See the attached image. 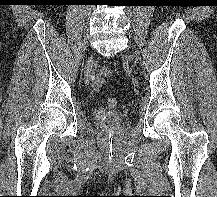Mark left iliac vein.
Returning <instances> with one entry per match:
<instances>
[{"label": "left iliac vein", "instance_id": "left-iliac-vein-1", "mask_svg": "<svg viewBox=\"0 0 217 197\" xmlns=\"http://www.w3.org/2000/svg\"><path fill=\"white\" fill-rule=\"evenodd\" d=\"M124 59H125V62H127V63L131 61L127 55L124 56Z\"/></svg>", "mask_w": 217, "mask_h": 197}]
</instances>
